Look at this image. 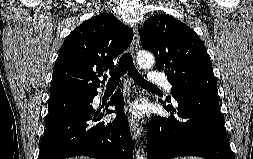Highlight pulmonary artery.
<instances>
[{
  "label": "pulmonary artery",
  "instance_id": "pulmonary-artery-1",
  "mask_svg": "<svg viewBox=\"0 0 253 159\" xmlns=\"http://www.w3.org/2000/svg\"><path fill=\"white\" fill-rule=\"evenodd\" d=\"M148 82L154 85H161L168 92H171L172 90V84L167 79L164 72H158L154 70L150 71L148 74Z\"/></svg>",
  "mask_w": 253,
  "mask_h": 159
}]
</instances>
